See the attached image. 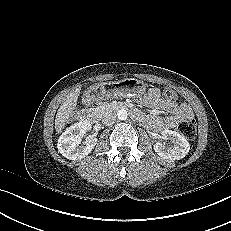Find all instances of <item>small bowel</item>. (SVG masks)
<instances>
[{"label":"small bowel","mask_w":231,"mask_h":231,"mask_svg":"<svg viewBox=\"0 0 231 231\" xmlns=\"http://www.w3.org/2000/svg\"><path fill=\"white\" fill-rule=\"evenodd\" d=\"M143 103L153 110L169 113L165 117L149 115L143 119L144 123L156 132L171 130L181 121L193 118V113L189 105L178 103L176 100L162 98L157 88H152L148 91L143 98Z\"/></svg>","instance_id":"obj_1"}]
</instances>
